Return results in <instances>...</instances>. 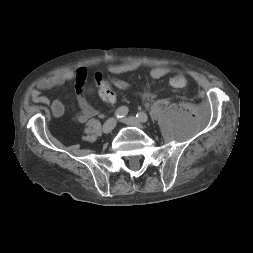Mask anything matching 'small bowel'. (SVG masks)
I'll return each mask as SVG.
<instances>
[{
	"instance_id": "small-bowel-1",
	"label": "small bowel",
	"mask_w": 253,
	"mask_h": 253,
	"mask_svg": "<svg viewBox=\"0 0 253 253\" xmlns=\"http://www.w3.org/2000/svg\"><path fill=\"white\" fill-rule=\"evenodd\" d=\"M139 67L140 64L138 62H125L109 65L108 71L113 75H121L136 71ZM169 72V67L158 66L150 71V78L152 80H158L168 75ZM86 77V69L79 68L76 71L68 70L54 74L50 77L43 78L37 83L36 88L31 92V100L33 103H40L42 105L49 106L52 116L55 118H59L64 113L63 103L58 99H55L54 101L50 102V100L43 94V91L61 86L69 81H74L76 85L77 101L80 108V111L76 116V120L79 123H85L90 118L98 114V111L87 102L84 96L83 87Z\"/></svg>"
}]
</instances>
